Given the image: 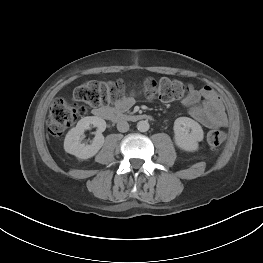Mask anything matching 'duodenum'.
<instances>
[{
    "instance_id": "410a0bca",
    "label": "duodenum",
    "mask_w": 263,
    "mask_h": 263,
    "mask_svg": "<svg viewBox=\"0 0 263 263\" xmlns=\"http://www.w3.org/2000/svg\"><path fill=\"white\" fill-rule=\"evenodd\" d=\"M97 117L107 119L113 122H123V121H141L149 119L148 115L145 114H124L119 109L114 108H99L94 111Z\"/></svg>"
}]
</instances>
